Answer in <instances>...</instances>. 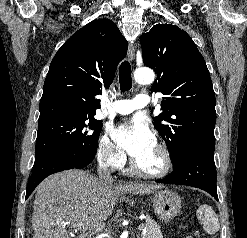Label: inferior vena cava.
Segmentation results:
<instances>
[{
  "instance_id": "602c4592",
  "label": "inferior vena cava",
  "mask_w": 247,
  "mask_h": 238,
  "mask_svg": "<svg viewBox=\"0 0 247 238\" xmlns=\"http://www.w3.org/2000/svg\"><path fill=\"white\" fill-rule=\"evenodd\" d=\"M97 173L99 176V180L102 181H113L111 176V171L106 167L104 161H99L98 167H97Z\"/></svg>"
}]
</instances>
